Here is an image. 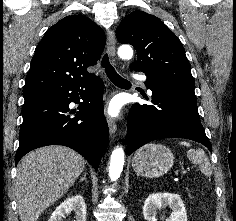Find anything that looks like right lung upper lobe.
<instances>
[{"label":"right lung upper lobe","mask_w":236,"mask_h":221,"mask_svg":"<svg viewBox=\"0 0 236 221\" xmlns=\"http://www.w3.org/2000/svg\"><path fill=\"white\" fill-rule=\"evenodd\" d=\"M106 43L102 29L82 15L67 16L50 27L39 42L25 79L23 95L93 78Z\"/></svg>","instance_id":"right-lung-upper-lobe-1"}]
</instances>
